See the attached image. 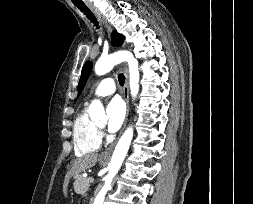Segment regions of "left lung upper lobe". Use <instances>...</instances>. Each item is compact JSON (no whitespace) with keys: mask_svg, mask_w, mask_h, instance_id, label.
<instances>
[{"mask_svg":"<svg viewBox=\"0 0 253 204\" xmlns=\"http://www.w3.org/2000/svg\"><path fill=\"white\" fill-rule=\"evenodd\" d=\"M123 40H124L123 35L117 33L116 31L112 33V41L114 46L121 45L123 43ZM91 70H92V63L90 61H87L82 68V73L78 84V95L83 90Z\"/></svg>","mask_w":253,"mask_h":204,"instance_id":"5c2ea615","label":"left lung upper lobe"}]
</instances>
